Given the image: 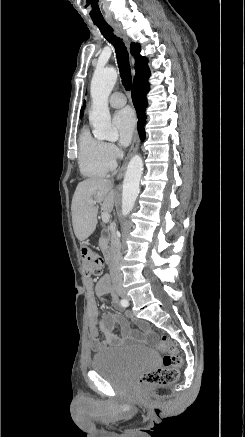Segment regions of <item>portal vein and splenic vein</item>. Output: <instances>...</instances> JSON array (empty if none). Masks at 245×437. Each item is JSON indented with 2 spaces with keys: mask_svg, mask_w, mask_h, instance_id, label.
<instances>
[{
  "mask_svg": "<svg viewBox=\"0 0 245 437\" xmlns=\"http://www.w3.org/2000/svg\"><path fill=\"white\" fill-rule=\"evenodd\" d=\"M89 202L93 203L94 200L91 199V200H89ZM101 216H102V221H103L104 223L109 222V220H110V214H109L108 212H102Z\"/></svg>",
  "mask_w": 245,
  "mask_h": 437,
  "instance_id": "obj_1",
  "label": "portal vein and splenic vein"
}]
</instances>
